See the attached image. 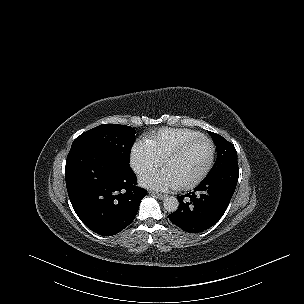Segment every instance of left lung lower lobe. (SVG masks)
I'll return each mask as SVG.
<instances>
[{
	"mask_svg": "<svg viewBox=\"0 0 304 304\" xmlns=\"http://www.w3.org/2000/svg\"><path fill=\"white\" fill-rule=\"evenodd\" d=\"M238 177V167L206 177L193 192L177 197L180 206L169 215L170 221L189 233L210 228L225 213Z\"/></svg>",
	"mask_w": 304,
	"mask_h": 304,
	"instance_id": "0a47b994",
	"label": "left lung lower lobe"
}]
</instances>
